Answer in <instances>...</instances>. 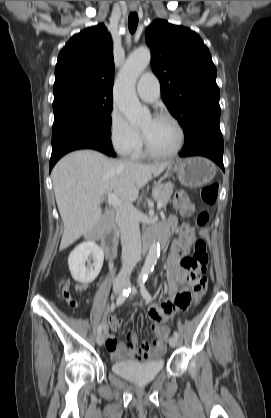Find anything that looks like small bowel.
<instances>
[{"mask_svg": "<svg viewBox=\"0 0 271 418\" xmlns=\"http://www.w3.org/2000/svg\"><path fill=\"white\" fill-rule=\"evenodd\" d=\"M167 225L172 229H177L178 220L171 216ZM166 230V228H159ZM185 256V249L181 243L177 242L172 248L167 263V275L169 280V298L162 305H153L149 308L148 315L154 325V333L156 339L151 344L143 343L138 345V337L136 333L129 332L127 340L131 346L124 343H118L115 335L105 334L104 344L111 359H119L122 357L133 358L137 360H145L150 357L162 355L165 352L163 339L166 338L168 330L163 324L168 321L176 311L185 310L189 307L191 301L190 287L195 285V277L184 270L181 266V260ZM79 291L86 289L85 284L77 286ZM182 299H188L187 305L182 303ZM112 331H118L122 326V320L116 317L110 318Z\"/></svg>", "mask_w": 271, "mask_h": 418, "instance_id": "c3829d8e", "label": "small bowel"}]
</instances>
